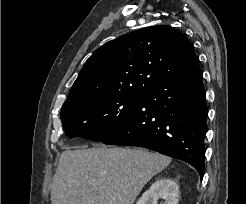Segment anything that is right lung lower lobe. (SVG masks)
Here are the masks:
<instances>
[{"instance_id": "right-lung-lower-lobe-1", "label": "right lung lower lobe", "mask_w": 246, "mask_h": 204, "mask_svg": "<svg viewBox=\"0 0 246 204\" xmlns=\"http://www.w3.org/2000/svg\"><path fill=\"white\" fill-rule=\"evenodd\" d=\"M207 114L202 72L196 61L143 92L124 123L101 141L144 147L183 160L202 178Z\"/></svg>"}]
</instances>
